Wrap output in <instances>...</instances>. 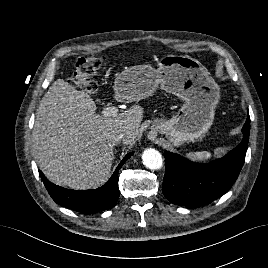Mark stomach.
I'll list each match as a JSON object with an SVG mask.
<instances>
[{
    "label": "stomach",
    "mask_w": 268,
    "mask_h": 268,
    "mask_svg": "<svg viewBox=\"0 0 268 268\" xmlns=\"http://www.w3.org/2000/svg\"><path fill=\"white\" fill-rule=\"evenodd\" d=\"M160 87L184 104L171 119L154 121L152 131L165 134L174 146L201 139L213 124L220 98L219 86L201 63L186 55H167L158 68L142 64L119 73L114 82L116 97L135 101L152 96Z\"/></svg>",
    "instance_id": "0dacf381"
}]
</instances>
